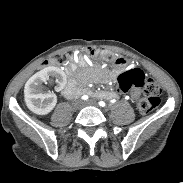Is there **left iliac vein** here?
Segmentation results:
<instances>
[{
  "label": "left iliac vein",
  "mask_w": 183,
  "mask_h": 183,
  "mask_svg": "<svg viewBox=\"0 0 183 183\" xmlns=\"http://www.w3.org/2000/svg\"><path fill=\"white\" fill-rule=\"evenodd\" d=\"M85 105H90V106H97V103L92 101V100H89L85 103Z\"/></svg>",
  "instance_id": "1"
}]
</instances>
